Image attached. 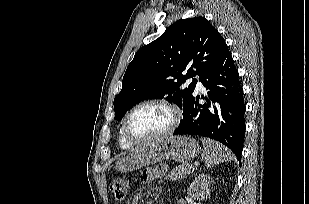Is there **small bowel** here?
I'll return each instance as SVG.
<instances>
[{
    "instance_id": "1",
    "label": "small bowel",
    "mask_w": 309,
    "mask_h": 204,
    "mask_svg": "<svg viewBox=\"0 0 309 204\" xmlns=\"http://www.w3.org/2000/svg\"><path fill=\"white\" fill-rule=\"evenodd\" d=\"M163 170H164L163 167L146 169L145 171H143L141 179L143 182L148 183L152 181L156 176L160 175ZM140 199L141 194L136 193L131 197L130 202L128 204H139Z\"/></svg>"
}]
</instances>
